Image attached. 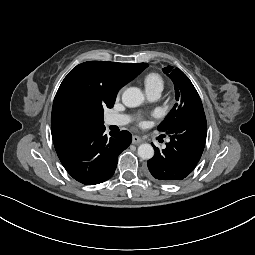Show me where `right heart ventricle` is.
<instances>
[{"label": "right heart ventricle", "instance_id": "1", "mask_svg": "<svg viewBox=\"0 0 255 255\" xmlns=\"http://www.w3.org/2000/svg\"><path fill=\"white\" fill-rule=\"evenodd\" d=\"M143 84L146 92H161L164 88V80L162 76L155 72H151L145 75V77L143 78Z\"/></svg>", "mask_w": 255, "mask_h": 255}]
</instances>
